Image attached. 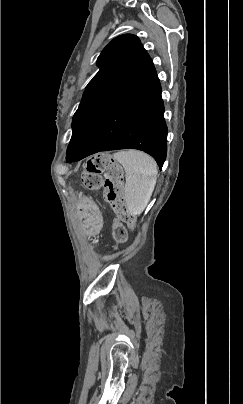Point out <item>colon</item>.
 Wrapping results in <instances>:
<instances>
[{
  "label": "colon",
  "mask_w": 243,
  "mask_h": 404,
  "mask_svg": "<svg viewBox=\"0 0 243 404\" xmlns=\"http://www.w3.org/2000/svg\"><path fill=\"white\" fill-rule=\"evenodd\" d=\"M84 186L90 190L103 188L104 197L119 217L132 224L134 217L124 199L123 172L118 163L106 154L91 157L82 175ZM114 238L117 242L125 239V229L120 223L114 225Z\"/></svg>",
  "instance_id": "obj_1"
}]
</instances>
